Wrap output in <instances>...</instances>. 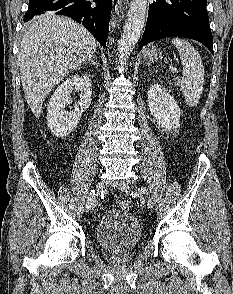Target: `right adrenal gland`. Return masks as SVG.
Wrapping results in <instances>:
<instances>
[{
	"label": "right adrenal gland",
	"instance_id": "1",
	"mask_svg": "<svg viewBox=\"0 0 233 294\" xmlns=\"http://www.w3.org/2000/svg\"><path fill=\"white\" fill-rule=\"evenodd\" d=\"M88 64L94 65L96 68H98L97 64L95 63V57H92L89 61Z\"/></svg>",
	"mask_w": 233,
	"mask_h": 294
}]
</instances>
